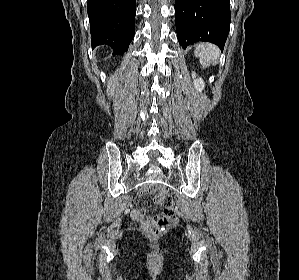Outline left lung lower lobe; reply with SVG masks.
Returning <instances> with one entry per match:
<instances>
[{
    "instance_id": "0a47b994",
    "label": "left lung lower lobe",
    "mask_w": 299,
    "mask_h": 280,
    "mask_svg": "<svg viewBox=\"0 0 299 280\" xmlns=\"http://www.w3.org/2000/svg\"><path fill=\"white\" fill-rule=\"evenodd\" d=\"M175 16L183 48L204 41L223 49L231 20L229 0H175Z\"/></svg>"
}]
</instances>
